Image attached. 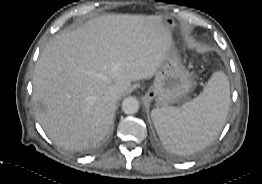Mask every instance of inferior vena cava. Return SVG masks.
<instances>
[{
	"label": "inferior vena cava",
	"instance_id": "obj_1",
	"mask_svg": "<svg viewBox=\"0 0 262 184\" xmlns=\"http://www.w3.org/2000/svg\"><path fill=\"white\" fill-rule=\"evenodd\" d=\"M106 97L111 101H117L119 98V91L116 87H110L106 92Z\"/></svg>",
	"mask_w": 262,
	"mask_h": 184
}]
</instances>
